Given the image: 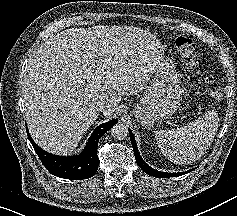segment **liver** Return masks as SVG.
Segmentation results:
<instances>
[{"mask_svg":"<svg viewBox=\"0 0 237 216\" xmlns=\"http://www.w3.org/2000/svg\"><path fill=\"white\" fill-rule=\"evenodd\" d=\"M115 29L72 28L46 41L25 74L24 102L33 139L42 148L68 152L99 117V100L119 104L139 95L148 82L145 67L119 59ZM115 110L102 111L111 119Z\"/></svg>","mask_w":237,"mask_h":216,"instance_id":"liver-1","label":"liver"}]
</instances>
